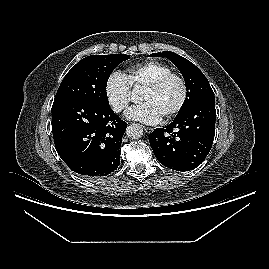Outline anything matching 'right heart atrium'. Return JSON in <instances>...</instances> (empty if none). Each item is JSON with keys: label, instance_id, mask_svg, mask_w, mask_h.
<instances>
[{"label": "right heart atrium", "instance_id": "d8ad5b80", "mask_svg": "<svg viewBox=\"0 0 269 269\" xmlns=\"http://www.w3.org/2000/svg\"><path fill=\"white\" fill-rule=\"evenodd\" d=\"M104 93L109 107L115 113L124 112L130 103V84L127 77L118 71L111 72L104 84Z\"/></svg>", "mask_w": 269, "mask_h": 269}]
</instances>
